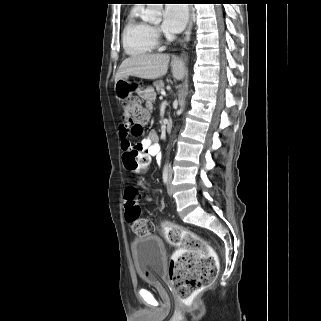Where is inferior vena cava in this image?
I'll return each mask as SVG.
<instances>
[{
    "label": "inferior vena cava",
    "instance_id": "obj_1",
    "mask_svg": "<svg viewBox=\"0 0 321 321\" xmlns=\"http://www.w3.org/2000/svg\"><path fill=\"white\" fill-rule=\"evenodd\" d=\"M168 172H169V176H172V170H171V167H169Z\"/></svg>",
    "mask_w": 321,
    "mask_h": 321
}]
</instances>
